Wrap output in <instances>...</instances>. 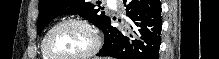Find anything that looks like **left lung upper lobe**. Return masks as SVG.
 Masks as SVG:
<instances>
[{"instance_id": "left-lung-upper-lobe-1", "label": "left lung upper lobe", "mask_w": 219, "mask_h": 59, "mask_svg": "<svg viewBox=\"0 0 219 59\" xmlns=\"http://www.w3.org/2000/svg\"><path fill=\"white\" fill-rule=\"evenodd\" d=\"M97 4H100V1ZM64 14H79L100 29L110 19L104 12L100 13V6L96 9L88 0H39L38 34L51 20Z\"/></svg>"}]
</instances>
